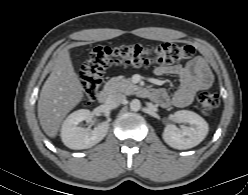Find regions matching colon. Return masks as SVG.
Instances as JSON below:
<instances>
[{"instance_id":"5ec220e1","label":"colon","mask_w":248,"mask_h":195,"mask_svg":"<svg viewBox=\"0 0 248 195\" xmlns=\"http://www.w3.org/2000/svg\"><path fill=\"white\" fill-rule=\"evenodd\" d=\"M195 54L192 45L164 42L155 46L125 45L119 47L96 46L84 62L81 80L82 103L89 105L103 83L104 72L110 67H149L171 65L188 60ZM201 113L208 117L219 105V96L202 91L198 96Z\"/></svg>"}]
</instances>
